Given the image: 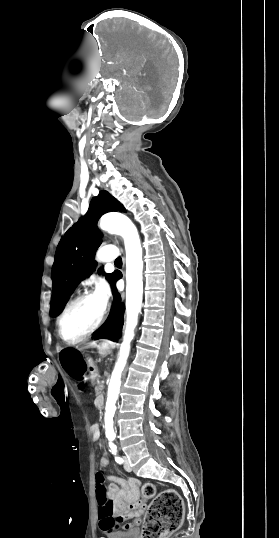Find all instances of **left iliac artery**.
Instances as JSON below:
<instances>
[{"mask_svg": "<svg viewBox=\"0 0 279 538\" xmlns=\"http://www.w3.org/2000/svg\"><path fill=\"white\" fill-rule=\"evenodd\" d=\"M112 453L115 455V461L118 463V464H122L124 461L123 459L117 454V450L116 449H113Z\"/></svg>", "mask_w": 279, "mask_h": 538, "instance_id": "obj_1", "label": "left iliac artery"}]
</instances>
